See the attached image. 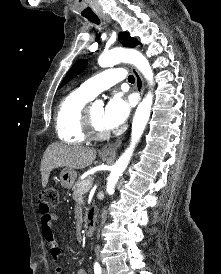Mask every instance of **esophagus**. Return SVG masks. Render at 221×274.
I'll return each mask as SVG.
<instances>
[{
  "label": "esophagus",
  "instance_id": "esophagus-1",
  "mask_svg": "<svg viewBox=\"0 0 221 274\" xmlns=\"http://www.w3.org/2000/svg\"><path fill=\"white\" fill-rule=\"evenodd\" d=\"M102 17L105 18L108 22H111V20H110L109 17H107V16H105V15H103ZM128 68L131 69V71H132V73H133V75H134V77H135V88H136L137 92L140 94V96L142 97V96H143V93H144V83H143V79H142V77H141L139 71H138L136 68H134V67H132V66H130V65H128ZM122 139H123V138H119V139H117L115 142L109 143V144L105 145V146L103 147V149H102L103 153L115 154L116 151H117V149H118V148L121 146V144H122Z\"/></svg>",
  "mask_w": 221,
  "mask_h": 274
}]
</instances>
